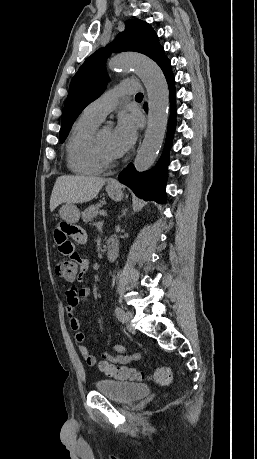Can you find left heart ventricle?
I'll return each instance as SVG.
<instances>
[{
	"mask_svg": "<svg viewBox=\"0 0 257 459\" xmlns=\"http://www.w3.org/2000/svg\"><path fill=\"white\" fill-rule=\"evenodd\" d=\"M99 138L101 145L104 151L111 155L116 156L114 149H113V132L111 129H103L99 133Z\"/></svg>",
	"mask_w": 257,
	"mask_h": 459,
	"instance_id": "obj_1",
	"label": "left heart ventricle"
}]
</instances>
